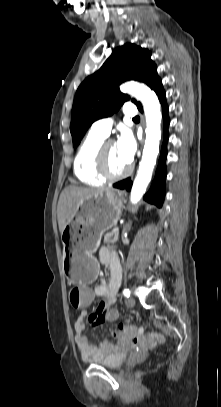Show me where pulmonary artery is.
Segmentation results:
<instances>
[{"mask_svg": "<svg viewBox=\"0 0 221 407\" xmlns=\"http://www.w3.org/2000/svg\"><path fill=\"white\" fill-rule=\"evenodd\" d=\"M123 112L128 117H135L137 115L136 107L128 103L124 106ZM113 120L111 118H103L93 123L91 131L107 137L110 134Z\"/></svg>", "mask_w": 221, "mask_h": 407, "instance_id": "pulmonary-artery-1", "label": "pulmonary artery"}]
</instances>
